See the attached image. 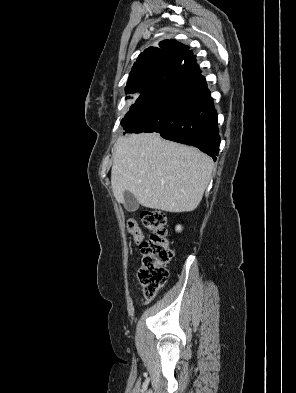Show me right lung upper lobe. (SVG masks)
Listing matches in <instances>:
<instances>
[{
  "instance_id": "obj_1",
  "label": "right lung upper lobe",
  "mask_w": 296,
  "mask_h": 393,
  "mask_svg": "<svg viewBox=\"0 0 296 393\" xmlns=\"http://www.w3.org/2000/svg\"><path fill=\"white\" fill-rule=\"evenodd\" d=\"M159 46L149 47L138 56L129 74L126 93L140 91L150 81L165 79L196 61L189 48L176 40L161 41Z\"/></svg>"
}]
</instances>
